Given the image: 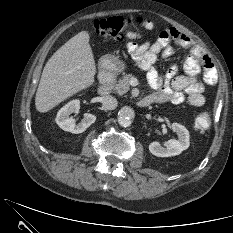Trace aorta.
Returning a JSON list of instances; mask_svg holds the SVG:
<instances>
[{
    "label": "aorta",
    "instance_id": "762f6f07",
    "mask_svg": "<svg viewBox=\"0 0 233 233\" xmlns=\"http://www.w3.org/2000/svg\"><path fill=\"white\" fill-rule=\"evenodd\" d=\"M134 117H135V112L133 108L129 106H124L118 112V123L122 127H128L132 124Z\"/></svg>",
    "mask_w": 233,
    "mask_h": 233
}]
</instances>
